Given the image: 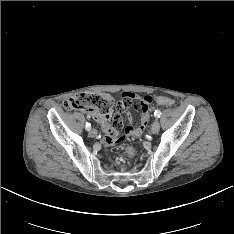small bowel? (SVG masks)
Wrapping results in <instances>:
<instances>
[{
    "instance_id": "small-bowel-1",
    "label": "small bowel",
    "mask_w": 234,
    "mask_h": 234,
    "mask_svg": "<svg viewBox=\"0 0 234 234\" xmlns=\"http://www.w3.org/2000/svg\"><path fill=\"white\" fill-rule=\"evenodd\" d=\"M127 95H122L120 100L115 102L117 106L115 111L113 112V118H111L110 123L107 120L99 119L95 116L97 122H99L103 128L104 136H103V143L106 146H112L117 143H120L123 140V137H118V131L122 129V119H121V112H126V117L128 121L131 123L125 129V135L131 136L134 135L136 139L141 137L143 129L147 126V122L149 120V105L152 102V98L150 96L139 97L135 93H125ZM139 101V109L142 112V119L140 124L136 127L132 124L133 117L131 113L127 112V108H129L130 103L134 102L135 100ZM163 105L162 103H160Z\"/></svg>"
}]
</instances>
